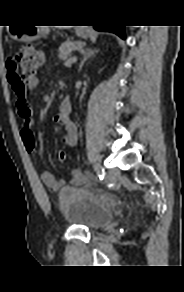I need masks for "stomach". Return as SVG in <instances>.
<instances>
[{"instance_id": "stomach-1", "label": "stomach", "mask_w": 184, "mask_h": 292, "mask_svg": "<svg viewBox=\"0 0 184 292\" xmlns=\"http://www.w3.org/2000/svg\"><path fill=\"white\" fill-rule=\"evenodd\" d=\"M45 33V29L41 26H28L22 30L12 31V38L19 41H32L40 38ZM80 37H86V30L77 31Z\"/></svg>"}]
</instances>
